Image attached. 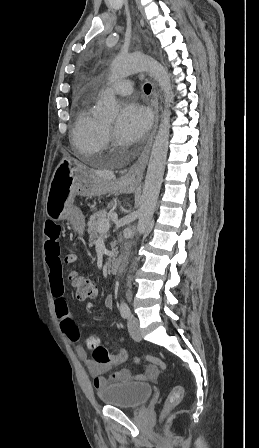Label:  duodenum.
<instances>
[{"label":"duodenum","instance_id":"410a0bca","mask_svg":"<svg viewBox=\"0 0 259 448\" xmlns=\"http://www.w3.org/2000/svg\"><path fill=\"white\" fill-rule=\"evenodd\" d=\"M121 267H122L121 259L116 258L111 261V263L109 265V272L111 274H117L120 271Z\"/></svg>","mask_w":259,"mask_h":448}]
</instances>
